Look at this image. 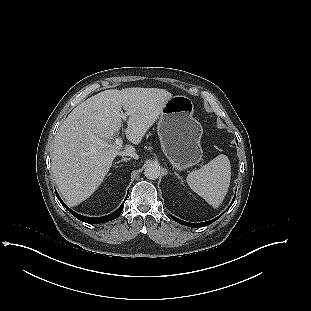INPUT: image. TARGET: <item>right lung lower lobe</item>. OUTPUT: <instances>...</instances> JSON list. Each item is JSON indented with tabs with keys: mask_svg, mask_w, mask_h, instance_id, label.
<instances>
[{
	"mask_svg": "<svg viewBox=\"0 0 311 311\" xmlns=\"http://www.w3.org/2000/svg\"><path fill=\"white\" fill-rule=\"evenodd\" d=\"M56 195H57V198L59 199L60 203L66 207V209L73 215L75 216L77 219L83 221V222H86V223H89V224H96V223H103V222H108V221H111V220H114L116 219L122 212L123 210V207H124V203L121 205V207L119 209H117L115 212L107 215V216H103V217H85V216H82L80 214H77L76 212L72 211L71 209H69L65 204L64 202L61 200L60 196L57 194L56 192ZM127 199V197H126ZM125 199V200H126ZM125 202V201H124Z\"/></svg>",
	"mask_w": 311,
	"mask_h": 311,
	"instance_id": "right-lung-lower-lobe-1",
	"label": "right lung lower lobe"
}]
</instances>
